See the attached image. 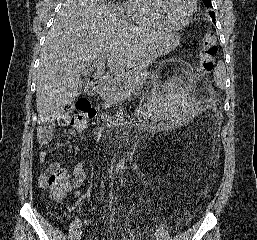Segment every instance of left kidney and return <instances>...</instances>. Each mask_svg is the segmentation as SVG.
<instances>
[{"label":"left kidney","instance_id":"obj_1","mask_svg":"<svg viewBox=\"0 0 257 240\" xmlns=\"http://www.w3.org/2000/svg\"><path fill=\"white\" fill-rule=\"evenodd\" d=\"M163 113L167 118L175 119L178 125H182L194 117L188 112L186 97L180 94L174 95L166 102Z\"/></svg>","mask_w":257,"mask_h":240}]
</instances>
